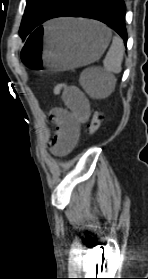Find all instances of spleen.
<instances>
[{"label": "spleen", "mask_w": 148, "mask_h": 279, "mask_svg": "<svg viewBox=\"0 0 148 279\" xmlns=\"http://www.w3.org/2000/svg\"><path fill=\"white\" fill-rule=\"evenodd\" d=\"M125 47L123 40L119 36H114L112 44L103 61L105 73L111 77V80L98 79L91 81L86 78L87 71L80 77V84L85 91L93 98H105L109 96L115 88L113 73H120L122 70L123 56Z\"/></svg>", "instance_id": "3e777b00"}]
</instances>
